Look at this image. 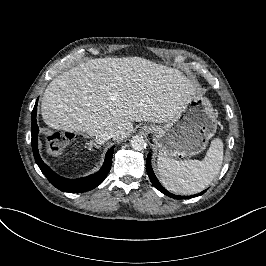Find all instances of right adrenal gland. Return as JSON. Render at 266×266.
I'll list each match as a JSON object with an SVG mask.
<instances>
[{
    "label": "right adrenal gland",
    "mask_w": 266,
    "mask_h": 266,
    "mask_svg": "<svg viewBox=\"0 0 266 266\" xmlns=\"http://www.w3.org/2000/svg\"><path fill=\"white\" fill-rule=\"evenodd\" d=\"M87 144V146L89 147L88 149H89V151H92V146L94 145L96 148H99V145L97 144V143H95V142H93V141H91V142H87L86 143Z\"/></svg>",
    "instance_id": "right-adrenal-gland-1"
}]
</instances>
